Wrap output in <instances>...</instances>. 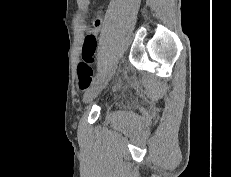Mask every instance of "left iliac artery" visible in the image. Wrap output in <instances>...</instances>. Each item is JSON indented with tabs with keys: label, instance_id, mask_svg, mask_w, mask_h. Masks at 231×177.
Here are the masks:
<instances>
[{
	"label": "left iliac artery",
	"instance_id": "left-iliac-artery-1",
	"mask_svg": "<svg viewBox=\"0 0 231 177\" xmlns=\"http://www.w3.org/2000/svg\"><path fill=\"white\" fill-rule=\"evenodd\" d=\"M101 75H102V71L97 73L95 78H94V82H96L100 78Z\"/></svg>",
	"mask_w": 231,
	"mask_h": 177
}]
</instances>
